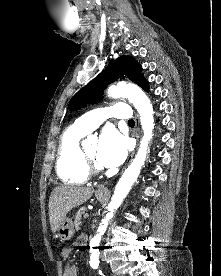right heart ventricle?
<instances>
[{
	"instance_id": "1",
	"label": "right heart ventricle",
	"mask_w": 221,
	"mask_h": 276,
	"mask_svg": "<svg viewBox=\"0 0 221 276\" xmlns=\"http://www.w3.org/2000/svg\"><path fill=\"white\" fill-rule=\"evenodd\" d=\"M86 133L72 126L60 138L56 171L59 178L68 184H83L89 178V169L84 159L80 141Z\"/></svg>"
}]
</instances>
